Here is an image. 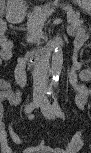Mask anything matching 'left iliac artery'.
Segmentation results:
<instances>
[{
    "mask_svg": "<svg viewBox=\"0 0 91 153\" xmlns=\"http://www.w3.org/2000/svg\"><path fill=\"white\" fill-rule=\"evenodd\" d=\"M53 107H54V110H55L56 115H57L58 117L63 118V117H64V114H63V112H62V110H61V108H60V106H59V104H58L57 98H55V100H54Z\"/></svg>",
    "mask_w": 91,
    "mask_h": 153,
    "instance_id": "left-iliac-artery-1",
    "label": "left iliac artery"
}]
</instances>
